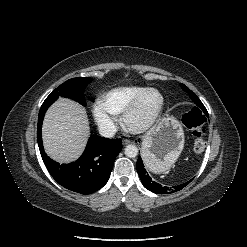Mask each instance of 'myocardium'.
I'll return each instance as SVG.
<instances>
[{"label":"myocardium","instance_id":"myocardium-1","mask_svg":"<svg viewBox=\"0 0 247 247\" xmlns=\"http://www.w3.org/2000/svg\"><path fill=\"white\" fill-rule=\"evenodd\" d=\"M150 92H155L159 95V97H160L159 107H158L156 113L153 115V117L149 121H147L146 123H144L140 126H133L130 123V117L133 114V112L135 111V109L137 108V106L139 105L142 98ZM164 104H165L164 96L162 95V93L159 90H157L156 88H147L144 91H142L140 94H138L130 102V104L126 107V109L123 111L122 118H121L122 125L130 133H133V134L145 133V132L149 131L160 120L161 115H162L163 110H164Z\"/></svg>","mask_w":247,"mask_h":247}]
</instances>
